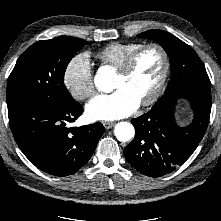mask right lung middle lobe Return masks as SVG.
<instances>
[{"label":"right lung middle lobe","instance_id":"right-lung-middle-lobe-1","mask_svg":"<svg viewBox=\"0 0 221 221\" xmlns=\"http://www.w3.org/2000/svg\"><path fill=\"white\" fill-rule=\"evenodd\" d=\"M87 41L59 36L31 45L17 60L7 82V104L39 99L47 104L74 99L64 84V73L73 56Z\"/></svg>","mask_w":221,"mask_h":221}]
</instances>
